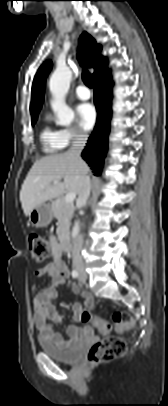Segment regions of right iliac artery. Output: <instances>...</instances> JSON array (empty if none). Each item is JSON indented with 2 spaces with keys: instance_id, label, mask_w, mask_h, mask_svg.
I'll return each instance as SVG.
<instances>
[{
  "instance_id": "right-iliac-artery-1",
  "label": "right iliac artery",
  "mask_w": 168,
  "mask_h": 406,
  "mask_svg": "<svg viewBox=\"0 0 168 406\" xmlns=\"http://www.w3.org/2000/svg\"><path fill=\"white\" fill-rule=\"evenodd\" d=\"M71 274H72V277H73V278H77V277H78V272H77L76 270H73Z\"/></svg>"
}]
</instances>
